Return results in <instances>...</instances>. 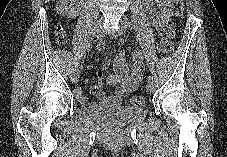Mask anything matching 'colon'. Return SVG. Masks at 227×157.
Segmentation results:
<instances>
[{"label": "colon", "mask_w": 227, "mask_h": 157, "mask_svg": "<svg viewBox=\"0 0 227 157\" xmlns=\"http://www.w3.org/2000/svg\"><path fill=\"white\" fill-rule=\"evenodd\" d=\"M172 13L178 17L183 11V0H171ZM57 42L63 45L66 41L64 29L58 25L55 28ZM158 49L161 55L169 54L173 49V43L167 33L162 34ZM129 103L135 106H142L146 103V98L142 95H135L129 99Z\"/></svg>", "instance_id": "1"}]
</instances>
